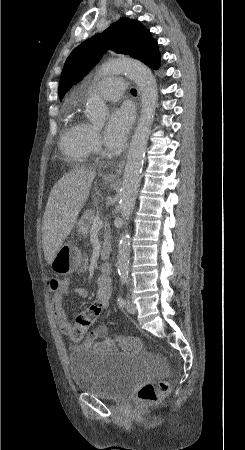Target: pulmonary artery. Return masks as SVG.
<instances>
[{
	"label": "pulmonary artery",
	"mask_w": 245,
	"mask_h": 450,
	"mask_svg": "<svg viewBox=\"0 0 245 450\" xmlns=\"http://www.w3.org/2000/svg\"><path fill=\"white\" fill-rule=\"evenodd\" d=\"M96 90L103 99L116 101L124 91V80L119 77L106 78L97 85Z\"/></svg>",
	"instance_id": "obj_1"
}]
</instances>
